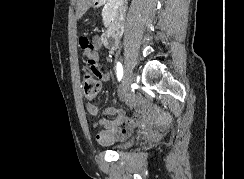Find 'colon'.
Masks as SVG:
<instances>
[{"mask_svg":"<svg viewBox=\"0 0 244 179\" xmlns=\"http://www.w3.org/2000/svg\"><path fill=\"white\" fill-rule=\"evenodd\" d=\"M102 78V75L93 67L84 73L81 89L85 98L88 100H94L97 98L100 91Z\"/></svg>","mask_w":244,"mask_h":179,"instance_id":"colon-1","label":"colon"}]
</instances>
